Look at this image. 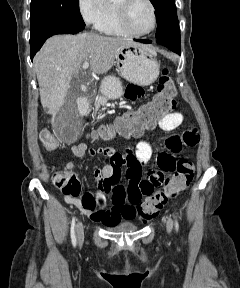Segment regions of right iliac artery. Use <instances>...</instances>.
<instances>
[{
	"instance_id": "obj_1",
	"label": "right iliac artery",
	"mask_w": 240,
	"mask_h": 288,
	"mask_svg": "<svg viewBox=\"0 0 240 288\" xmlns=\"http://www.w3.org/2000/svg\"><path fill=\"white\" fill-rule=\"evenodd\" d=\"M70 234H71L72 245L75 247L77 244V239H76V234H75V217L72 218Z\"/></svg>"
}]
</instances>
